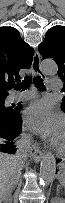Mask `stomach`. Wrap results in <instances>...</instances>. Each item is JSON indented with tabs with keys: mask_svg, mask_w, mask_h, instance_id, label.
Instances as JSON below:
<instances>
[{
	"mask_svg": "<svg viewBox=\"0 0 65 203\" xmlns=\"http://www.w3.org/2000/svg\"><path fill=\"white\" fill-rule=\"evenodd\" d=\"M60 182L64 183L65 182V171L64 169L61 172V175L59 176Z\"/></svg>",
	"mask_w": 65,
	"mask_h": 203,
	"instance_id": "0dacf381",
	"label": "stomach"
}]
</instances>
